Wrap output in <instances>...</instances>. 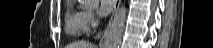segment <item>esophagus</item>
<instances>
[{
    "label": "esophagus",
    "instance_id": "esophagus-1",
    "mask_svg": "<svg viewBox=\"0 0 213 48\" xmlns=\"http://www.w3.org/2000/svg\"><path fill=\"white\" fill-rule=\"evenodd\" d=\"M120 3H121V0H116V1H115L114 13H115V11H117V9L119 8ZM110 24H111V21H110L109 24L107 25V27H106V29H105V31H104V34H103V36H102V38H101V40H100V42H99V46H100L101 48L104 46V41H105L106 36H107V34H108V31H109V28H110Z\"/></svg>",
    "mask_w": 213,
    "mask_h": 48
}]
</instances>
